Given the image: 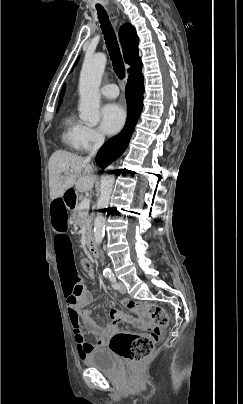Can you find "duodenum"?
<instances>
[{
    "label": "duodenum",
    "mask_w": 243,
    "mask_h": 404,
    "mask_svg": "<svg viewBox=\"0 0 243 404\" xmlns=\"http://www.w3.org/2000/svg\"><path fill=\"white\" fill-rule=\"evenodd\" d=\"M64 199L67 207L70 210L74 211L78 208L79 197L77 191L74 188L70 187L64 191ZM87 247L91 255L95 258H98L99 253L93 238H89L87 240Z\"/></svg>",
    "instance_id": "obj_1"
}]
</instances>
